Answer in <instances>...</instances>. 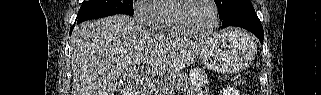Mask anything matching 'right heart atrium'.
Here are the masks:
<instances>
[{
	"label": "right heart atrium",
	"instance_id": "d8ad5b80",
	"mask_svg": "<svg viewBox=\"0 0 321 95\" xmlns=\"http://www.w3.org/2000/svg\"><path fill=\"white\" fill-rule=\"evenodd\" d=\"M157 0H137L133 4L135 20L142 25H149L156 12Z\"/></svg>",
	"mask_w": 321,
	"mask_h": 95
}]
</instances>
